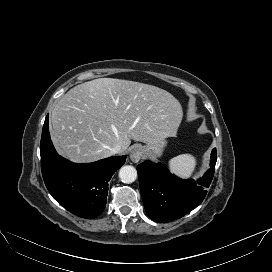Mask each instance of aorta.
Segmentation results:
<instances>
[{
  "label": "aorta",
  "mask_w": 272,
  "mask_h": 272,
  "mask_svg": "<svg viewBox=\"0 0 272 272\" xmlns=\"http://www.w3.org/2000/svg\"><path fill=\"white\" fill-rule=\"evenodd\" d=\"M119 178L123 183H132L137 178V170L130 165L123 166L119 170Z\"/></svg>",
  "instance_id": "762f6f07"
}]
</instances>
